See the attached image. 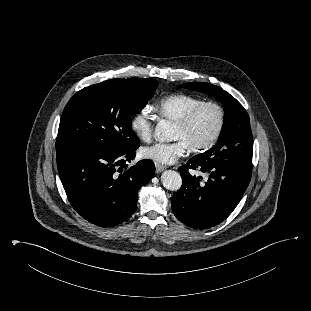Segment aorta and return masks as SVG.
<instances>
[{"mask_svg": "<svg viewBox=\"0 0 311 311\" xmlns=\"http://www.w3.org/2000/svg\"><path fill=\"white\" fill-rule=\"evenodd\" d=\"M154 137L159 142H170L173 140V127L166 120H161L155 127ZM161 181L163 186L171 191H177L182 185L180 174L173 170H166L162 173Z\"/></svg>", "mask_w": 311, "mask_h": 311, "instance_id": "762f6f07", "label": "aorta"}]
</instances>
